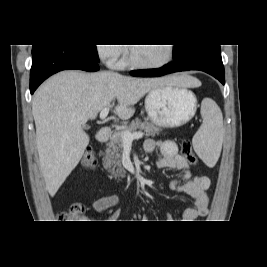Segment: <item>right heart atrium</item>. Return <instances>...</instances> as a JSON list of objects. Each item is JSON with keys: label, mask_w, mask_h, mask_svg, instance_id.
Wrapping results in <instances>:
<instances>
[{"label": "right heart atrium", "mask_w": 267, "mask_h": 267, "mask_svg": "<svg viewBox=\"0 0 267 267\" xmlns=\"http://www.w3.org/2000/svg\"><path fill=\"white\" fill-rule=\"evenodd\" d=\"M97 53L109 67L117 68L121 66L124 48L120 45H98Z\"/></svg>", "instance_id": "1"}]
</instances>
